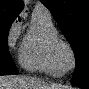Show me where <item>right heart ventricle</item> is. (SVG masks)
Segmentation results:
<instances>
[{"label": "right heart ventricle", "mask_w": 89, "mask_h": 89, "mask_svg": "<svg viewBox=\"0 0 89 89\" xmlns=\"http://www.w3.org/2000/svg\"><path fill=\"white\" fill-rule=\"evenodd\" d=\"M58 38L59 33L51 15L34 12L19 53L22 67L28 71L57 77L63 75L65 70L55 52V42Z\"/></svg>", "instance_id": "right-heart-ventricle-1"}]
</instances>
